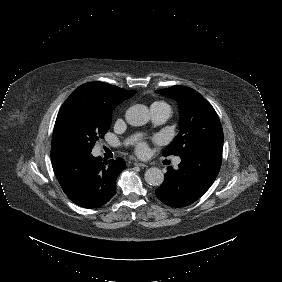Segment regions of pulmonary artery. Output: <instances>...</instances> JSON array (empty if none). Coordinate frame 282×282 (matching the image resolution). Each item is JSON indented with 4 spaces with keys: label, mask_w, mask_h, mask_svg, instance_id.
Listing matches in <instances>:
<instances>
[{
    "label": "pulmonary artery",
    "mask_w": 282,
    "mask_h": 282,
    "mask_svg": "<svg viewBox=\"0 0 282 282\" xmlns=\"http://www.w3.org/2000/svg\"><path fill=\"white\" fill-rule=\"evenodd\" d=\"M150 110H151L152 118L154 122L157 124L164 123L171 115V108L167 104L152 105ZM131 141L132 139L126 141V144L130 143ZM179 163H180V158H177L174 162L175 168H177Z\"/></svg>",
    "instance_id": "1"
}]
</instances>
